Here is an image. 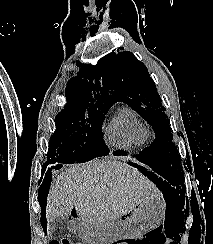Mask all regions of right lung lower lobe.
<instances>
[{"label":"right lung lower lobe","mask_w":213,"mask_h":244,"mask_svg":"<svg viewBox=\"0 0 213 244\" xmlns=\"http://www.w3.org/2000/svg\"><path fill=\"white\" fill-rule=\"evenodd\" d=\"M61 166H62L61 164H56L55 166L53 165L51 167L58 169ZM51 176H52V173L50 172V169H49V171L46 174L45 180L39 190V201H40L41 207L43 209H44V203L42 202V199H44V194L46 193V191L48 190V187L50 185Z\"/></svg>","instance_id":"obj_1"}]
</instances>
